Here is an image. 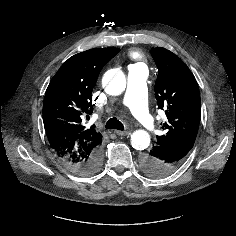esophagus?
I'll list each match as a JSON object with an SVG mask.
<instances>
[{
    "instance_id": "34e87169",
    "label": "esophagus",
    "mask_w": 236,
    "mask_h": 236,
    "mask_svg": "<svg viewBox=\"0 0 236 236\" xmlns=\"http://www.w3.org/2000/svg\"><path fill=\"white\" fill-rule=\"evenodd\" d=\"M115 133L119 136H126L129 134V131H120V130H116Z\"/></svg>"
}]
</instances>
